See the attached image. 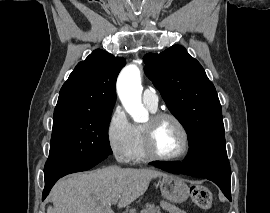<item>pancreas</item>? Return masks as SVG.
Returning a JSON list of instances; mask_svg holds the SVG:
<instances>
[{
    "mask_svg": "<svg viewBox=\"0 0 270 213\" xmlns=\"http://www.w3.org/2000/svg\"><path fill=\"white\" fill-rule=\"evenodd\" d=\"M141 213H161L160 208L154 204H147Z\"/></svg>",
    "mask_w": 270,
    "mask_h": 213,
    "instance_id": "1",
    "label": "pancreas"
}]
</instances>
